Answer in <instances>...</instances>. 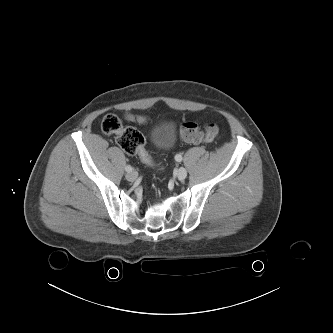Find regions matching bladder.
<instances>
[{
	"label": "bladder",
	"mask_w": 333,
	"mask_h": 333,
	"mask_svg": "<svg viewBox=\"0 0 333 333\" xmlns=\"http://www.w3.org/2000/svg\"><path fill=\"white\" fill-rule=\"evenodd\" d=\"M175 137V129L167 124L156 126L150 136L152 144L159 149L170 148L174 144Z\"/></svg>",
	"instance_id": "1"
}]
</instances>
